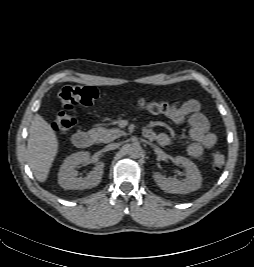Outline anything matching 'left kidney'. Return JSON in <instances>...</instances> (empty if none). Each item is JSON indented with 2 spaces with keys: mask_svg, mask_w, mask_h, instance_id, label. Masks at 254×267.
I'll list each match as a JSON object with an SVG mask.
<instances>
[{
  "mask_svg": "<svg viewBox=\"0 0 254 267\" xmlns=\"http://www.w3.org/2000/svg\"><path fill=\"white\" fill-rule=\"evenodd\" d=\"M176 164H182L186 169V177L178 180L175 178H166L158 172L153 174V178L157 185L168 193L186 194L196 191L201 187L202 177L197 166L189 159L176 156L174 158Z\"/></svg>",
  "mask_w": 254,
  "mask_h": 267,
  "instance_id": "obj_1",
  "label": "left kidney"
}]
</instances>
